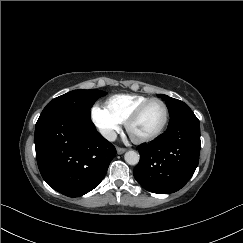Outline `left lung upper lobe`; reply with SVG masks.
<instances>
[{
    "instance_id": "5c2ea615",
    "label": "left lung upper lobe",
    "mask_w": 243,
    "mask_h": 243,
    "mask_svg": "<svg viewBox=\"0 0 243 243\" xmlns=\"http://www.w3.org/2000/svg\"><path fill=\"white\" fill-rule=\"evenodd\" d=\"M157 96L166 101V105L168 107L169 114H170L169 125L178 122L180 119L184 117L194 115L193 111L184 102L178 99L168 97L167 95H163V94H158Z\"/></svg>"
}]
</instances>
